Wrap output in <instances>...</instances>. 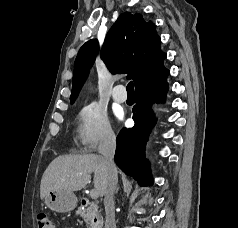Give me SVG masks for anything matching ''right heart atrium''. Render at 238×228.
Listing matches in <instances>:
<instances>
[{
	"label": "right heart atrium",
	"instance_id": "right-heart-atrium-1",
	"mask_svg": "<svg viewBox=\"0 0 238 228\" xmlns=\"http://www.w3.org/2000/svg\"><path fill=\"white\" fill-rule=\"evenodd\" d=\"M76 136L82 149L92 152L115 142L107 114L97 103L85 104L78 112Z\"/></svg>",
	"mask_w": 238,
	"mask_h": 228
}]
</instances>
